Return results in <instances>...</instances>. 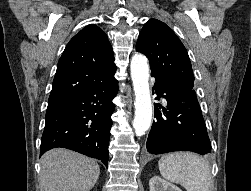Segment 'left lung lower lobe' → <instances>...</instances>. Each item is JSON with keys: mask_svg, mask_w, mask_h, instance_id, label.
Returning a JSON list of instances; mask_svg holds the SVG:
<instances>
[{"mask_svg": "<svg viewBox=\"0 0 251 191\" xmlns=\"http://www.w3.org/2000/svg\"><path fill=\"white\" fill-rule=\"evenodd\" d=\"M153 90L166 99L167 107H163L161 112V106L155 104L156 120L148 135L147 151L151 154L173 151L210 153L211 143L195 91L171 86L158 78Z\"/></svg>", "mask_w": 251, "mask_h": 191, "instance_id": "obj_1", "label": "left lung lower lobe"}]
</instances>
